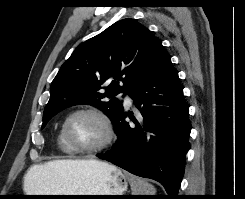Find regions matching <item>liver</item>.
<instances>
[{
  "label": "liver",
  "instance_id": "obj_1",
  "mask_svg": "<svg viewBox=\"0 0 245 199\" xmlns=\"http://www.w3.org/2000/svg\"><path fill=\"white\" fill-rule=\"evenodd\" d=\"M88 160H54L44 164L33 165L27 171L24 185L28 192L42 190L47 193H64L69 191L63 184V179L76 172L87 163Z\"/></svg>",
  "mask_w": 245,
  "mask_h": 199
}]
</instances>
